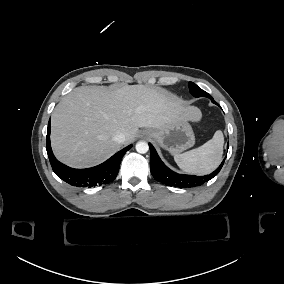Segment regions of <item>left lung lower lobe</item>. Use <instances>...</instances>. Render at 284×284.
I'll return each mask as SVG.
<instances>
[{
    "mask_svg": "<svg viewBox=\"0 0 284 284\" xmlns=\"http://www.w3.org/2000/svg\"><path fill=\"white\" fill-rule=\"evenodd\" d=\"M215 103V101H212ZM217 104V103H215ZM218 105V104H217ZM150 147V170L153 177L168 186H174L179 188L196 187L204 184L206 181L212 179L221 170L225 159L221 165L211 174L206 176H193V175H181L170 170L159 158L154 147L149 144Z\"/></svg>",
    "mask_w": 284,
    "mask_h": 284,
    "instance_id": "left-lung-lower-lobe-1",
    "label": "left lung lower lobe"
}]
</instances>
